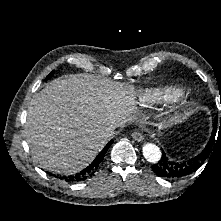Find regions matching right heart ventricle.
I'll use <instances>...</instances> for the list:
<instances>
[{"instance_id": "right-heart-ventricle-1", "label": "right heart ventricle", "mask_w": 221, "mask_h": 221, "mask_svg": "<svg viewBox=\"0 0 221 221\" xmlns=\"http://www.w3.org/2000/svg\"><path fill=\"white\" fill-rule=\"evenodd\" d=\"M166 93L165 90L161 89H149L146 90L140 97H139V105L144 108L151 107L156 102L159 101V99ZM172 94L174 96L181 95V90H174L172 91Z\"/></svg>"}]
</instances>
